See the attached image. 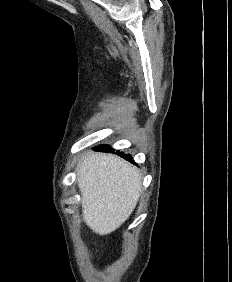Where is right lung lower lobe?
<instances>
[{"instance_id": "obj_1", "label": "right lung lower lobe", "mask_w": 232, "mask_h": 282, "mask_svg": "<svg viewBox=\"0 0 232 282\" xmlns=\"http://www.w3.org/2000/svg\"><path fill=\"white\" fill-rule=\"evenodd\" d=\"M94 150H97V151H105L107 150L108 151H112L114 152V149H112L110 146L108 145H101V146H97L94 148ZM118 155L122 156L123 158L129 160L130 162H132V157L131 156H128V155H124L123 153H119V152H116Z\"/></svg>"}]
</instances>
